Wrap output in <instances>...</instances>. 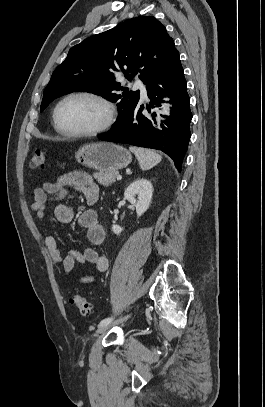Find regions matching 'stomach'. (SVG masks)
Listing matches in <instances>:
<instances>
[{
	"label": "stomach",
	"instance_id": "1",
	"mask_svg": "<svg viewBox=\"0 0 265 407\" xmlns=\"http://www.w3.org/2000/svg\"><path fill=\"white\" fill-rule=\"evenodd\" d=\"M75 158L78 163L98 171H117L127 167L132 160L127 149L109 142L83 145Z\"/></svg>",
	"mask_w": 265,
	"mask_h": 407
}]
</instances>
